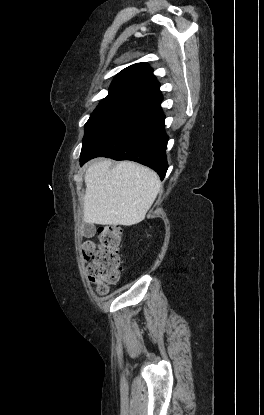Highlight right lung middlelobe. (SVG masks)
Listing matches in <instances>:
<instances>
[{
  "label": "right lung middle lobe",
  "mask_w": 264,
  "mask_h": 415,
  "mask_svg": "<svg viewBox=\"0 0 264 415\" xmlns=\"http://www.w3.org/2000/svg\"><path fill=\"white\" fill-rule=\"evenodd\" d=\"M141 102H143L141 99L121 95H108L104 98L85 124L82 150L91 145L111 125Z\"/></svg>",
  "instance_id": "right-lung-middle-lobe-1"
}]
</instances>
